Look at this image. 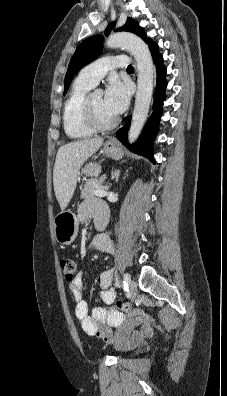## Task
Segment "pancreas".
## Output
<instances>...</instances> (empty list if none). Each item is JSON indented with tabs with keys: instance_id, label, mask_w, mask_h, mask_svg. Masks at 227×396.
<instances>
[{
	"instance_id": "cf45deb5",
	"label": "pancreas",
	"mask_w": 227,
	"mask_h": 396,
	"mask_svg": "<svg viewBox=\"0 0 227 396\" xmlns=\"http://www.w3.org/2000/svg\"><path fill=\"white\" fill-rule=\"evenodd\" d=\"M105 187L102 186L100 182L95 179H88L84 188L81 191L82 198H90L94 196L93 191L97 189H103Z\"/></svg>"
}]
</instances>
